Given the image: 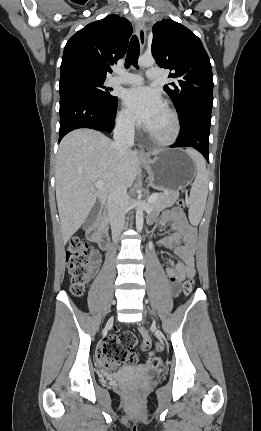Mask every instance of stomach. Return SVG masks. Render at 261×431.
I'll list each match as a JSON object with an SVG mask.
<instances>
[{
  "label": "stomach",
  "mask_w": 261,
  "mask_h": 431,
  "mask_svg": "<svg viewBox=\"0 0 261 431\" xmlns=\"http://www.w3.org/2000/svg\"><path fill=\"white\" fill-rule=\"evenodd\" d=\"M149 174V184L156 189L178 191L196 177L195 162L182 150H162L153 158H141Z\"/></svg>",
  "instance_id": "0dacf381"
}]
</instances>
